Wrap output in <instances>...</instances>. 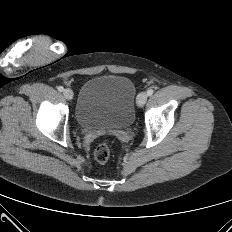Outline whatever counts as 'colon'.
<instances>
[{"mask_svg":"<svg viewBox=\"0 0 232 232\" xmlns=\"http://www.w3.org/2000/svg\"><path fill=\"white\" fill-rule=\"evenodd\" d=\"M110 154V147L106 143L99 144L94 151V157L100 163L107 162L110 158Z\"/></svg>","mask_w":232,"mask_h":232,"instance_id":"obj_1","label":"colon"}]
</instances>
